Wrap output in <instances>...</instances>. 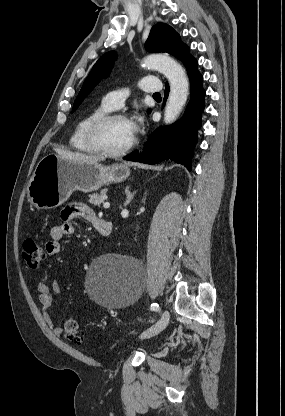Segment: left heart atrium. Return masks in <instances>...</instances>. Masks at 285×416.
Returning a JSON list of instances; mask_svg holds the SVG:
<instances>
[{
  "instance_id": "39dd6f15",
  "label": "left heart atrium",
  "mask_w": 285,
  "mask_h": 416,
  "mask_svg": "<svg viewBox=\"0 0 285 416\" xmlns=\"http://www.w3.org/2000/svg\"><path fill=\"white\" fill-rule=\"evenodd\" d=\"M126 122L129 136L131 137V139H133L139 130L140 118L133 117L127 120Z\"/></svg>"
}]
</instances>
